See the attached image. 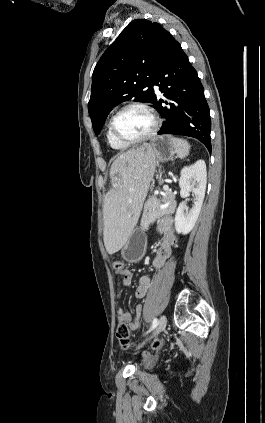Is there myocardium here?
<instances>
[{"label": "myocardium", "instance_id": "f54148a6", "mask_svg": "<svg viewBox=\"0 0 265 423\" xmlns=\"http://www.w3.org/2000/svg\"><path fill=\"white\" fill-rule=\"evenodd\" d=\"M131 108H138L143 110L144 112H146L149 117L152 119V127L150 129V131L145 134L142 137L136 138V139H128L125 138L123 136H121L117 129H116V121L118 119V117L126 110L131 109ZM160 125V121L158 116L156 115V113L154 112V110L147 104L142 103V102H131L128 103L124 106H122L111 118L110 120V130L112 135L114 136L115 139H117L119 142L126 144V145H134V144H138V143H142L144 141L149 140L150 138H152L158 131Z\"/></svg>", "mask_w": 265, "mask_h": 423}]
</instances>
